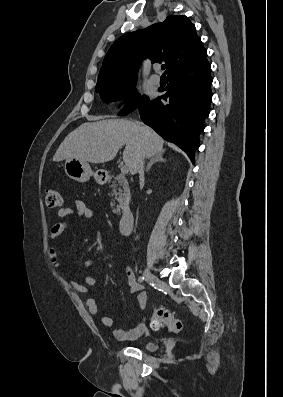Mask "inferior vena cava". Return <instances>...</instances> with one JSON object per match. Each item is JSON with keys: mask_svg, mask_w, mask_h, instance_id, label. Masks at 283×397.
I'll use <instances>...</instances> for the list:
<instances>
[{"mask_svg": "<svg viewBox=\"0 0 283 397\" xmlns=\"http://www.w3.org/2000/svg\"><path fill=\"white\" fill-rule=\"evenodd\" d=\"M145 156H143L139 162V175H140V180L144 178V164H145Z\"/></svg>", "mask_w": 283, "mask_h": 397, "instance_id": "obj_1", "label": "inferior vena cava"}]
</instances>
